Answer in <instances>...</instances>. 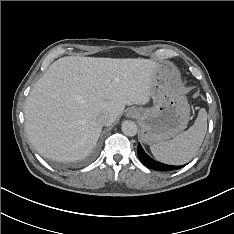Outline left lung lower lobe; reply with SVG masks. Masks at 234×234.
<instances>
[{
  "mask_svg": "<svg viewBox=\"0 0 234 234\" xmlns=\"http://www.w3.org/2000/svg\"><path fill=\"white\" fill-rule=\"evenodd\" d=\"M137 153H138V157H139L140 161L148 168L166 171V170H177V169H180L181 167H183V166L167 165V164H163V163H160L158 161H155L154 159L150 158L145 153V151L143 150V148L141 147L140 144L138 145V152Z\"/></svg>",
  "mask_w": 234,
  "mask_h": 234,
  "instance_id": "obj_1",
  "label": "left lung lower lobe"
}]
</instances>
